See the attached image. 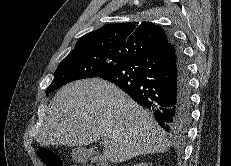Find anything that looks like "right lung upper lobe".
Masks as SVG:
<instances>
[{
  "label": "right lung upper lobe",
  "instance_id": "1",
  "mask_svg": "<svg viewBox=\"0 0 231 166\" xmlns=\"http://www.w3.org/2000/svg\"><path fill=\"white\" fill-rule=\"evenodd\" d=\"M169 42L163 28L154 23L107 24L82 36L72 52L91 49L127 61L155 52Z\"/></svg>",
  "mask_w": 231,
  "mask_h": 166
}]
</instances>
